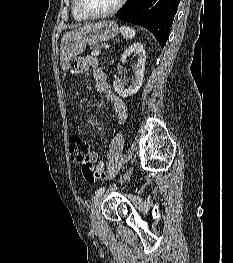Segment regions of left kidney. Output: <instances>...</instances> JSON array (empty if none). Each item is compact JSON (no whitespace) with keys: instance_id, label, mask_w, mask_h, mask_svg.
I'll list each match as a JSON object with an SVG mask.
<instances>
[{"instance_id":"obj_1","label":"left kidney","mask_w":233,"mask_h":263,"mask_svg":"<svg viewBox=\"0 0 233 263\" xmlns=\"http://www.w3.org/2000/svg\"><path fill=\"white\" fill-rule=\"evenodd\" d=\"M137 57V63L133 65L134 80L128 86L125 80L116 79L113 82L115 91L123 98L131 96L139 91L142 86L146 55L143 45L141 43H134L129 46L122 54L121 61H125L127 57L132 55Z\"/></svg>"}]
</instances>
